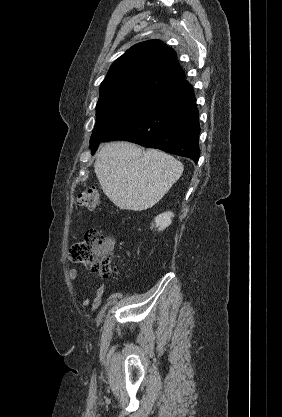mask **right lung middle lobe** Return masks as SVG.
I'll return each mask as SVG.
<instances>
[{
	"label": "right lung middle lobe",
	"mask_w": 282,
	"mask_h": 417,
	"mask_svg": "<svg viewBox=\"0 0 282 417\" xmlns=\"http://www.w3.org/2000/svg\"><path fill=\"white\" fill-rule=\"evenodd\" d=\"M157 95L156 92L140 90L101 94L96 107V125L90 139L92 153L109 134L134 117Z\"/></svg>",
	"instance_id": "obj_1"
}]
</instances>
